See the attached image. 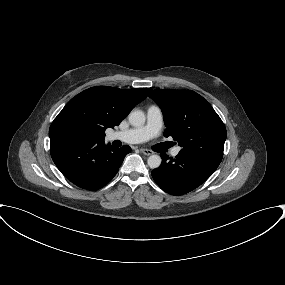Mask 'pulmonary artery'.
<instances>
[{"label": "pulmonary artery", "mask_w": 285, "mask_h": 285, "mask_svg": "<svg viewBox=\"0 0 285 285\" xmlns=\"http://www.w3.org/2000/svg\"><path fill=\"white\" fill-rule=\"evenodd\" d=\"M163 126V114L161 109L152 105L147 109L146 123L139 127L129 128L126 130L115 131L109 135L110 140H120L125 143L138 144L143 143L157 136ZM181 151L180 147H175L171 154L178 156Z\"/></svg>", "instance_id": "1"}]
</instances>
